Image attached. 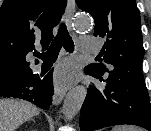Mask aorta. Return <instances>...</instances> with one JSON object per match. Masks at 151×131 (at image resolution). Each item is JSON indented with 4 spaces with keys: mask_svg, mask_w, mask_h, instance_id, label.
Listing matches in <instances>:
<instances>
[{
    "mask_svg": "<svg viewBox=\"0 0 151 131\" xmlns=\"http://www.w3.org/2000/svg\"><path fill=\"white\" fill-rule=\"evenodd\" d=\"M74 27L79 32L88 31L91 28L90 18L86 14L78 15ZM86 95L87 88L82 85L76 86L66 95L62 108L66 120H72L80 111Z\"/></svg>",
    "mask_w": 151,
    "mask_h": 131,
    "instance_id": "1",
    "label": "aorta"
}]
</instances>
